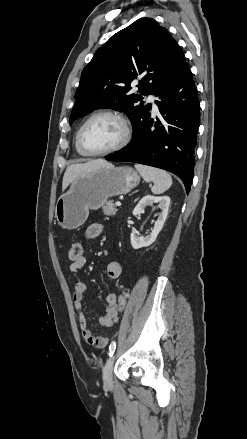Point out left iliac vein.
I'll list each match as a JSON object with an SVG mask.
<instances>
[{
    "label": "left iliac vein",
    "instance_id": "4c4485c4",
    "mask_svg": "<svg viewBox=\"0 0 247 439\" xmlns=\"http://www.w3.org/2000/svg\"><path fill=\"white\" fill-rule=\"evenodd\" d=\"M115 362V356H111L104 366L103 369V382L105 387H110L112 385V372Z\"/></svg>",
    "mask_w": 247,
    "mask_h": 439
}]
</instances>
